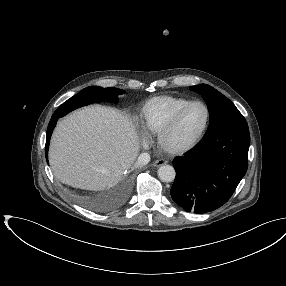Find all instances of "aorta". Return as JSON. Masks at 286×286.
<instances>
[{
	"mask_svg": "<svg viewBox=\"0 0 286 286\" xmlns=\"http://www.w3.org/2000/svg\"><path fill=\"white\" fill-rule=\"evenodd\" d=\"M175 175V169L171 165H163L158 169V177L163 182H172Z\"/></svg>",
	"mask_w": 286,
	"mask_h": 286,
	"instance_id": "obj_1",
	"label": "aorta"
}]
</instances>
